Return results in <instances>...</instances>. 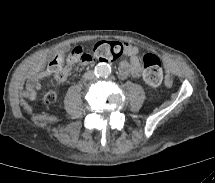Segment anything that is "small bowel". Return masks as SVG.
Instances as JSON below:
<instances>
[{"instance_id": "c3829d8e", "label": "small bowel", "mask_w": 215, "mask_h": 183, "mask_svg": "<svg viewBox=\"0 0 215 183\" xmlns=\"http://www.w3.org/2000/svg\"><path fill=\"white\" fill-rule=\"evenodd\" d=\"M125 49L127 52V61L121 62L118 69V75L121 79H124L128 76H138L140 73L139 63L143 58L142 51L139 48L133 47L130 44H126ZM76 63V60L70 54L67 65L60 73L57 74H53L50 70L45 69L42 62L39 63L27 81L26 96L29 99L34 98L36 96V92L42 87V80L51 75H53L58 81L65 80Z\"/></svg>"}]
</instances>
